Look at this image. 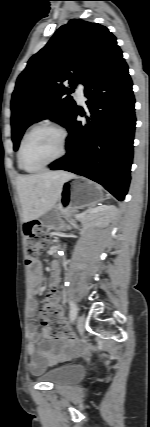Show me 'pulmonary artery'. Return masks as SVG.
<instances>
[{
	"instance_id": "pulmonary-artery-1",
	"label": "pulmonary artery",
	"mask_w": 150,
	"mask_h": 427,
	"mask_svg": "<svg viewBox=\"0 0 150 427\" xmlns=\"http://www.w3.org/2000/svg\"><path fill=\"white\" fill-rule=\"evenodd\" d=\"M76 97H77V99H78L79 102H83L84 99H85L84 87H83L82 84H78L77 85Z\"/></svg>"
}]
</instances>
